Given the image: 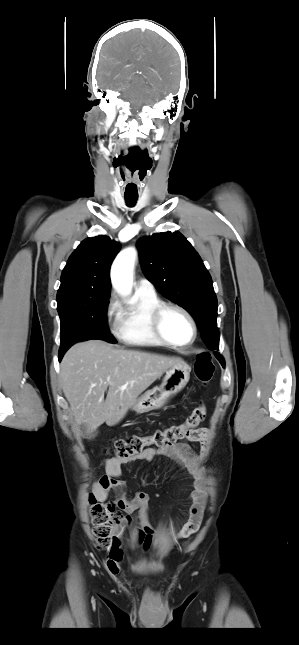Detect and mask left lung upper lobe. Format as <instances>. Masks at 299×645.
<instances>
[{"label":"left lung upper lobe","instance_id":"left-lung-upper-lobe-1","mask_svg":"<svg viewBox=\"0 0 299 645\" xmlns=\"http://www.w3.org/2000/svg\"><path fill=\"white\" fill-rule=\"evenodd\" d=\"M137 246L146 278L164 297L185 308L206 346L218 350L217 298L211 276L192 245L175 231L142 237ZM214 353L224 367L223 357Z\"/></svg>","mask_w":299,"mask_h":645}]
</instances>
